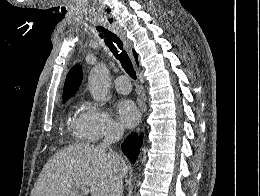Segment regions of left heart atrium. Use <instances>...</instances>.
<instances>
[{"instance_id":"left-heart-atrium-1","label":"left heart atrium","mask_w":260,"mask_h":196,"mask_svg":"<svg viewBox=\"0 0 260 196\" xmlns=\"http://www.w3.org/2000/svg\"><path fill=\"white\" fill-rule=\"evenodd\" d=\"M117 112L121 123L126 127L134 126L139 121V111L135 104L128 99H122L117 104ZM119 190H111L118 192Z\"/></svg>"}]
</instances>
